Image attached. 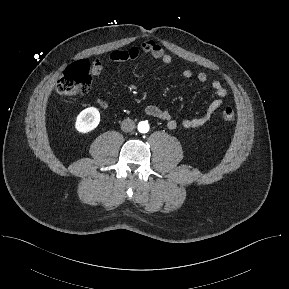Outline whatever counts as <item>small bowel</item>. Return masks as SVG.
Returning a JSON list of instances; mask_svg holds the SVG:
<instances>
[{
	"label": "small bowel",
	"mask_w": 289,
	"mask_h": 289,
	"mask_svg": "<svg viewBox=\"0 0 289 289\" xmlns=\"http://www.w3.org/2000/svg\"><path fill=\"white\" fill-rule=\"evenodd\" d=\"M141 52L150 55L154 59L162 61L164 64H170L172 62V57L164 51L161 45L153 40H147L143 42L140 48L131 47L128 49L112 51L107 55L106 61L112 63L132 61L137 59ZM102 70L103 61L96 59L91 66V75L98 76L101 74ZM182 74L185 78H190L192 76V71L190 69H184ZM197 80L202 84H206L209 81L207 74L204 72H200L197 75ZM210 86L217 98L210 103L204 115L184 119L181 122L184 128H198L205 125L210 121L216 111L222 106L223 98L227 95V90L217 80L212 81ZM97 103L102 108L108 107L107 101L103 99H98ZM144 111L148 116L164 120L170 130H174L178 126L177 121L172 117L170 112L164 108L156 105H148L145 107Z\"/></svg>",
	"instance_id": "obj_1"
}]
</instances>
